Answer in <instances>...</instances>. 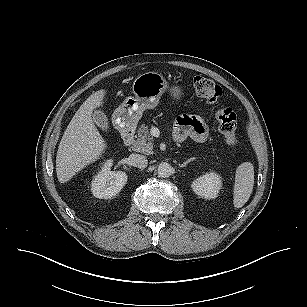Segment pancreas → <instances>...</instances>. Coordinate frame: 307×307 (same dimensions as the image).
Here are the masks:
<instances>
[{
	"label": "pancreas",
	"instance_id": "cf45deb5",
	"mask_svg": "<svg viewBox=\"0 0 307 307\" xmlns=\"http://www.w3.org/2000/svg\"><path fill=\"white\" fill-rule=\"evenodd\" d=\"M138 138L132 145V149L143 154L153 153V137L150 135L148 126L142 124L137 130Z\"/></svg>",
	"mask_w": 307,
	"mask_h": 307
}]
</instances>
